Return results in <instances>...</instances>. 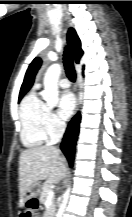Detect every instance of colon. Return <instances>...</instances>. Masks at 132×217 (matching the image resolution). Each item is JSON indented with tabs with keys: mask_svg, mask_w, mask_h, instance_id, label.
<instances>
[{
	"mask_svg": "<svg viewBox=\"0 0 132 217\" xmlns=\"http://www.w3.org/2000/svg\"><path fill=\"white\" fill-rule=\"evenodd\" d=\"M38 208V203L36 200L32 199L29 200L24 210L22 211L20 217H35L36 210Z\"/></svg>",
	"mask_w": 132,
	"mask_h": 217,
	"instance_id": "1",
	"label": "colon"
}]
</instances>
